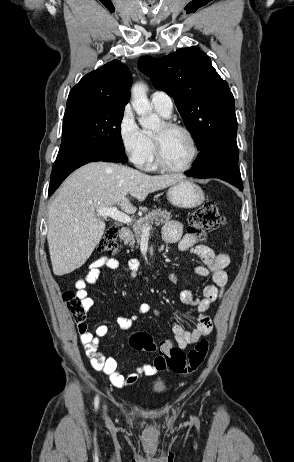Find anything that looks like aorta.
I'll list each match as a JSON object with an SVG mask.
<instances>
[{
  "mask_svg": "<svg viewBox=\"0 0 294 462\" xmlns=\"http://www.w3.org/2000/svg\"><path fill=\"white\" fill-rule=\"evenodd\" d=\"M132 107L139 116L138 121L145 129L155 130L160 126L159 117L152 112L151 104L147 98V86L137 83L132 87Z\"/></svg>",
  "mask_w": 294,
  "mask_h": 462,
  "instance_id": "aorta-1",
  "label": "aorta"
}]
</instances>
